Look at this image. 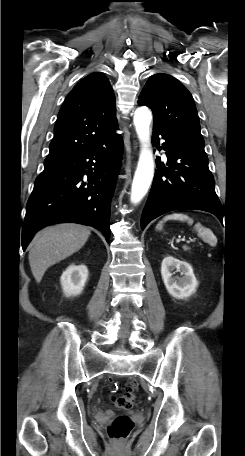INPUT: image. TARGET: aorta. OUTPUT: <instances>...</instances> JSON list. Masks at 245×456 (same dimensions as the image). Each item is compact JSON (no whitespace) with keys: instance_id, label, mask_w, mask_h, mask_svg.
Here are the masks:
<instances>
[{"instance_id":"aorta-1","label":"aorta","mask_w":245,"mask_h":456,"mask_svg":"<svg viewBox=\"0 0 245 456\" xmlns=\"http://www.w3.org/2000/svg\"><path fill=\"white\" fill-rule=\"evenodd\" d=\"M152 113L147 107H139L134 113V125L141 143L137 169L131 188V202L139 203L147 193L154 176V159L150 148V123Z\"/></svg>"}]
</instances>
